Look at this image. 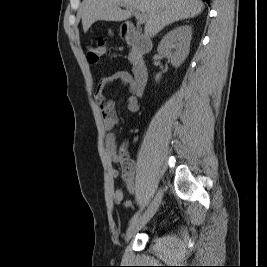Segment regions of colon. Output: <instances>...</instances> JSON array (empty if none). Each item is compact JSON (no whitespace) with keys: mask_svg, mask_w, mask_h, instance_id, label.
Segmentation results:
<instances>
[{"mask_svg":"<svg viewBox=\"0 0 267 267\" xmlns=\"http://www.w3.org/2000/svg\"><path fill=\"white\" fill-rule=\"evenodd\" d=\"M108 52H109V50H108V47H107L105 41L100 39L90 49V51L88 53V58H89L90 62L96 63L100 59L107 56ZM119 155L122 159H128L125 149H121V151L119 152Z\"/></svg>","mask_w":267,"mask_h":267,"instance_id":"5ec220e1","label":"colon"}]
</instances>
